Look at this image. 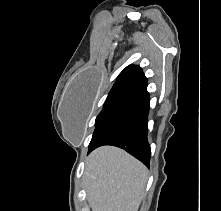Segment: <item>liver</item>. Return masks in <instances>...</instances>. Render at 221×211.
<instances>
[{
  "label": "liver",
  "instance_id": "liver-1",
  "mask_svg": "<svg viewBox=\"0 0 221 211\" xmlns=\"http://www.w3.org/2000/svg\"><path fill=\"white\" fill-rule=\"evenodd\" d=\"M146 167L126 151L102 146L86 159L84 186L92 211H138Z\"/></svg>",
  "mask_w": 221,
  "mask_h": 211
}]
</instances>
